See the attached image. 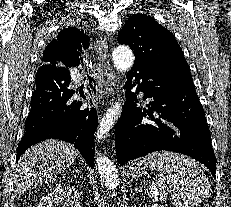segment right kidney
I'll return each instance as SVG.
<instances>
[{
  "instance_id": "ca27d5eb",
  "label": "right kidney",
  "mask_w": 231,
  "mask_h": 207,
  "mask_svg": "<svg viewBox=\"0 0 231 207\" xmlns=\"http://www.w3.org/2000/svg\"><path fill=\"white\" fill-rule=\"evenodd\" d=\"M81 207L80 194L71 186L59 184L42 198L38 207Z\"/></svg>"
}]
</instances>
